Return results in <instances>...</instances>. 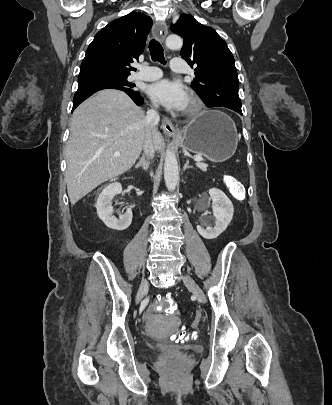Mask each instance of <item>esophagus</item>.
Listing matches in <instances>:
<instances>
[{
    "label": "esophagus",
    "instance_id": "34e87169",
    "mask_svg": "<svg viewBox=\"0 0 332 405\" xmlns=\"http://www.w3.org/2000/svg\"><path fill=\"white\" fill-rule=\"evenodd\" d=\"M168 33L167 24L164 21H158L153 27V35L156 39L164 42ZM163 131L170 136H178L179 130L173 125V123L168 118H163L162 120Z\"/></svg>",
    "mask_w": 332,
    "mask_h": 405
}]
</instances>
